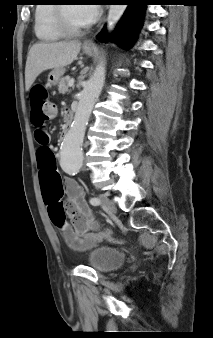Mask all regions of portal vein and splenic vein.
Returning <instances> with one entry per match:
<instances>
[{
	"instance_id": "1",
	"label": "portal vein and splenic vein",
	"mask_w": 213,
	"mask_h": 338,
	"mask_svg": "<svg viewBox=\"0 0 213 338\" xmlns=\"http://www.w3.org/2000/svg\"><path fill=\"white\" fill-rule=\"evenodd\" d=\"M74 85V79H70L69 81H68V86L69 87H72Z\"/></svg>"
}]
</instances>
